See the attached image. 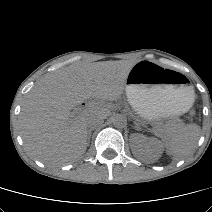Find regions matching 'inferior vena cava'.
Listing matches in <instances>:
<instances>
[{"label":"inferior vena cava","mask_w":212,"mask_h":212,"mask_svg":"<svg viewBox=\"0 0 212 212\" xmlns=\"http://www.w3.org/2000/svg\"><path fill=\"white\" fill-rule=\"evenodd\" d=\"M103 122H104V117L99 114H92L87 117V127L91 129L102 124Z\"/></svg>","instance_id":"602c4592"}]
</instances>
